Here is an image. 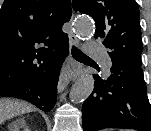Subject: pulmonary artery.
Returning <instances> with one entry per match:
<instances>
[{
  "mask_svg": "<svg viewBox=\"0 0 151 131\" xmlns=\"http://www.w3.org/2000/svg\"><path fill=\"white\" fill-rule=\"evenodd\" d=\"M88 52L97 56L100 59L105 73L109 74L112 63L103 48L98 43L91 41L88 45Z\"/></svg>",
  "mask_w": 151,
  "mask_h": 131,
  "instance_id": "obj_1",
  "label": "pulmonary artery"
}]
</instances>
